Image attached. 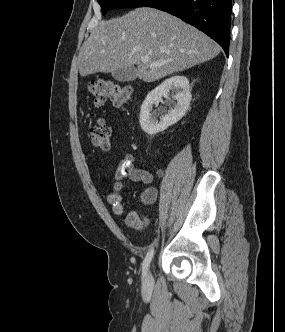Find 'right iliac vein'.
<instances>
[{
  "label": "right iliac vein",
  "instance_id": "obj_1",
  "mask_svg": "<svg viewBox=\"0 0 285 332\" xmlns=\"http://www.w3.org/2000/svg\"><path fill=\"white\" fill-rule=\"evenodd\" d=\"M150 281H151V276H150V274H149V275L146 276L144 282H145V284H149Z\"/></svg>",
  "mask_w": 285,
  "mask_h": 332
}]
</instances>
